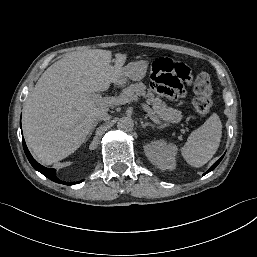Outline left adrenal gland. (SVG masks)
Wrapping results in <instances>:
<instances>
[{
	"mask_svg": "<svg viewBox=\"0 0 257 257\" xmlns=\"http://www.w3.org/2000/svg\"><path fill=\"white\" fill-rule=\"evenodd\" d=\"M141 126L142 128H146V126H151V127H155L154 124L150 123V122H144V121H141Z\"/></svg>",
	"mask_w": 257,
	"mask_h": 257,
	"instance_id": "1",
	"label": "left adrenal gland"
}]
</instances>
